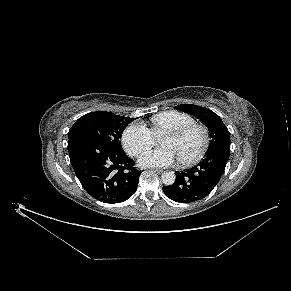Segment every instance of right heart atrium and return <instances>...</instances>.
Returning <instances> with one entry per match:
<instances>
[{
	"mask_svg": "<svg viewBox=\"0 0 291 291\" xmlns=\"http://www.w3.org/2000/svg\"><path fill=\"white\" fill-rule=\"evenodd\" d=\"M154 142L152 131L141 123L129 125L123 132L122 143L125 150L133 156L148 149Z\"/></svg>",
	"mask_w": 291,
	"mask_h": 291,
	"instance_id": "d8ad5b80",
	"label": "right heart atrium"
}]
</instances>
